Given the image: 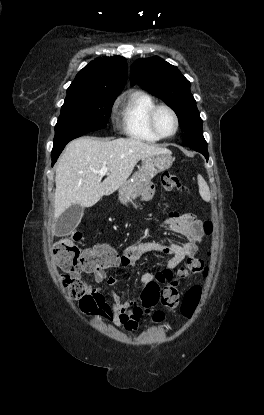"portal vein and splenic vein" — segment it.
Listing matches in <instances>:
<instances>
[{"label": "portal vein and splenic vein", "mask_w": 264, "mask_h": 415, "mask_svg": "<svg viewBox=\"0 0 264 415\" xmlns=\"http://www.w3.org/2000/svg\"><path fill=\"white\" fill-rule=\"evenodd\" d=\"M108 172H109V168H107V167H103V168H101L97 173L100 175V176H104V175H106V174H108Z\"/></svg>", "instance_id": "18ae733b"}]
</instances>
